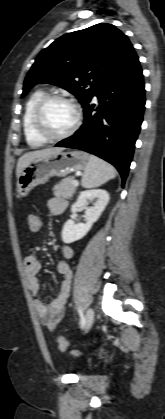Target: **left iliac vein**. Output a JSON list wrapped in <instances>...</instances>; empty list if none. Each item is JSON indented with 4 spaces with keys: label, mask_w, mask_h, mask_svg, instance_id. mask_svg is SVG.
I'll return each instance as SVG.
<instances>
[{
    "label": "left iliac vein",
    "mask_w": 165,
    "mask_h": 419,
    "mask_svg": "<svg viewBox=\"0 0 165 419\" xmlns=\"http://www.w3.org/2000/svg\"><path fill=\"white\" fill-rule=\"evenodd\" d=\"M94 322V311L92 308H88L86 311L85 318V330L88 331Z\"/></svg>",
    "instance_id": "obj_1"
}]
</instances>
